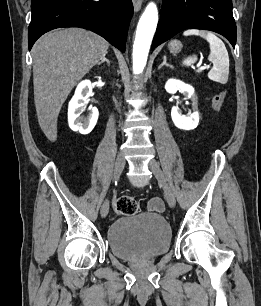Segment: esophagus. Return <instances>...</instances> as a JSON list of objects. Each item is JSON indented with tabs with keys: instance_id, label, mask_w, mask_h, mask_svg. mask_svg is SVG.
I'll use <instances>...</instances> for the list:
<instances>
[{
	"instance_id": "1",
	"label": "esophagus",
	"mask_w": 261,
	"mask_h": 306,
	"mask_svg": "<svg viewBox=\"0 0 261 306\" xmlns=\"http://www.w3.org/2000/svg\"><path fill=\"white\" fill-rule=\"evenodd\" d=\"M134 10L137 12L141 9L142 6V0H132Z\"/></svg>"
}]
</instances>
